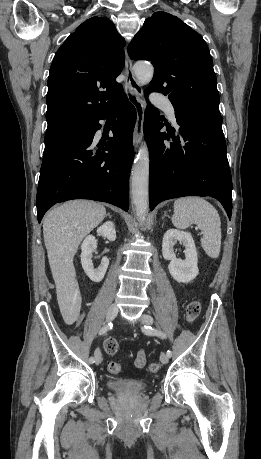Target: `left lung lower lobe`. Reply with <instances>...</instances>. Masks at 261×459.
Segmentation results:
<instances>
[{"label": "left lung lower lobe", "instance_id": "0a47b994", "mask_svg": "<svg viewBox=\"0 0 261 459\" xmlns=\"http://www.w3.org/2000/svg\"><path fill=\"white\" fill-rule=\"evenodd\" d=\"M146 94L149 92L146 90ZM159 111L148 104L144 129L150 152V210L161 201L183 196H211L232 213V179L222 119L183 116L175 112L179 134L160 133ZM172 139L166 144L163 140Z\"/></svg>", "mask_w": 261, "mask_h": 459}]
</instances>
